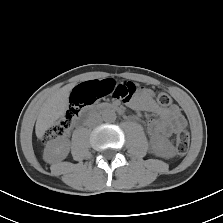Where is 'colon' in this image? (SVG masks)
<instances>
[{
  "label": "colon",
  "instance_id": "5ec220e1",
  "mask_svg": "<svg viewBox=\"0 0 223 223\" xmlns=\"http://www.w3.org/2000/svg\"><path fill=\"white\" fill-rule=\"evenodd\" d=\"M137 88L132 82L115 83L110 79L102 81H89L75 86L69 96V106L64 116L53 125L45 135V140L60 138L65 136L71 128L75 118L80 110L96 100L111 96L114 99L129 101L135 94ZM157 102L167 107L171 105V97L166 93H160L157 96ZM190 146V137L187 131L181 130L176 136V151L179 155L187 153Z\"/></svg>",
  "mask_w": 223,
  "mask_h": 223
}]
</instances>
